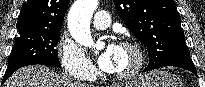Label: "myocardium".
I'll return each instance as SVG.
<instances>
[{
    "mask_svg": "<svg viewBox=\"0 0 205 87\" xmlns=\"http://www.w3.org/2000/svg\"><path fill=\"white\" fill-rule=\"evenodd\" d=\"M120 47L132 50L136 56V61L129 71L123 73H113L112 76L118 80H130L136 77L143 69L145 64V54L142 47L134 41H123L120 43Z\"/></svg>",
    "mask_w": 205,
    "mask_h": 87,
    "instance_id": "obj_1",
    "label": "myocardium"
}]
</instances>
